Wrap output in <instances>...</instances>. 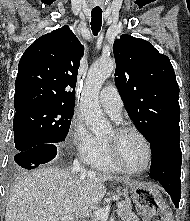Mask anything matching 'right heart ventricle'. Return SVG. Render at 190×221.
<instances>
[{
	"label": "right heart ventricle",
	"instance_id": "1",
	"mask_svg": "<svg viewBox=\"0 0 190 221\" xmlns=\"http://www.w3.org/2000/svg\"><path fill=\"white\" fill-rule=\"evenodd\" d=\"M93 168L106 171V172H118L121 171L111 160L104 140H99V147L96 154L88 162Z\"/></svg>",
	"mask_w": 190,
	"mask_h": 221
}]
</instances>
